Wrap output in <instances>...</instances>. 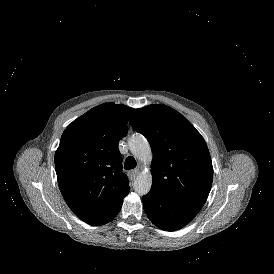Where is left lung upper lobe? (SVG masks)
I'll list each match as a JSON object with an SVG mask.
<instances>
[{"label":"left lung upper lobe","instance_id":"1","mask_svg":"<svg viewBox=\"0 0 274 274\" xmlns=\"http://www.w3.org/2000/svg\"><path fill=\"white\" fill-rule=\"evenodd\" d=\"M129 123L150 143L151 188L202 207L211 189L213 166L207 145L194 126L182 114L162 104L136 109Z\"/></svg>","mask_w":274,"mask_h":274}]
</instances>
